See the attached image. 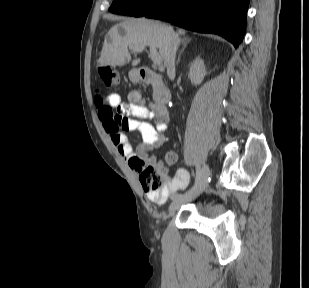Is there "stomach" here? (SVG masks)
Segmentation results:
<instances>
[{
    "mask_svg": "<svg viewBox=\"0 0 309 288\" xmlns=\"http://www.w3.org/2000/svg\"><path fill=\"white\" fill-rule=\"evenodd\" d=\"M129 78L132 82H138L140 80V76L137 70L133 69L129 72Z\"/></svg>",
    "mask_w": 309,
    "mask_h": 288,
    "instance_id": "1",
    "label": "stomach"
}]
</instances>
